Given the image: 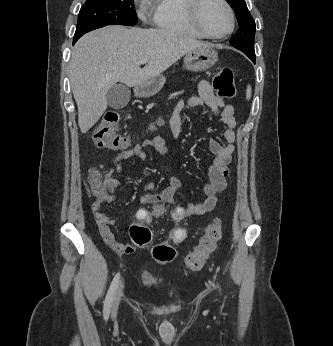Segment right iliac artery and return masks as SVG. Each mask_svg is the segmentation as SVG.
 I'll return each mask as SVG.
<instances>
[{
	"mask_svg": "<svg viewBox=\"0 0 333 346\" xmlns=\"http://www.w3.org/2000/svg\"><path fill=\"white\" fill-rule=\"evenodd\" d=\"M119 279H120V273H117L110 285V288L108 290V293L106 295L105 301H104V308H103V315L105 320L108 319L109 313H110V308H111V302L113 298V294L119 284Z\"/></svg>",
	"mask_w": 333,
	"mask_h": 346,
	"instance_id": "right-iliac-artery-1",
	"label": "right iliac artery"
}]
</instances>
